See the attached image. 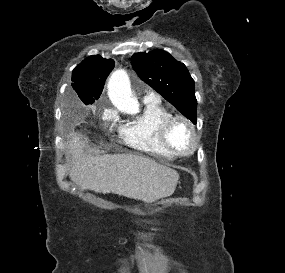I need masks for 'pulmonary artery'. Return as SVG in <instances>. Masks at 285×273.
<instances>
[{
    "mask_svg": "<svg viewBox=\"0 0 285 273\" xmlns=\"http://www.w3.org/2000/svg\"><path fill=\"white\" fill-rule=\"evenodd\" d=\"M159 100V97L156 93L153 91H148L145 95L144 101L149 102V101H157Z\"/></svg>",
    "mask_w": 285,
    "mask_h": 273,
    "instance_id": "pulmonary-artery-1",
    "label": "pulmonary artery"
}]
</instances>
